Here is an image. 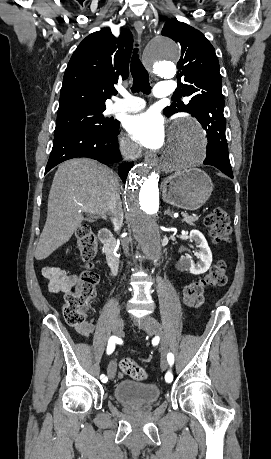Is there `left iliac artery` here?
<instances>
[{
    "label": "left iliac artery",
    "mask_w": 271,
    "mask_h": 459,
    "mask_svg": "<svg viewBox=\"0 0 271 459\" xmlns=\"http://www.w3.org/2000/svg\"><path fill=\"white\" fill-rule=\"evenodd\" d=\"M167 360H168V363L170 365H172L174 363V356L172 353H168V356H167ZM172 367V366H170ZM165 381L166 382H173L174 381V378H173V373L170 371V372H165Z\"/></svg>",
    "instance_id": "obj_1"
}]
</instances>
